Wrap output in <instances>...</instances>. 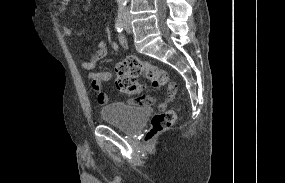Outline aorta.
Returning a JSON list of instances; mask_svg holds the SVG:
<instances>
[{"label":"aorta","instance_id":"1","mask_svg":"<svg viewBox=\"0 0 285 183\" xmlns=\"http://www.w3.org/2000/svg\"><path fill=\"white\" fill-rule=\"evenodd\" d=\"M127 1H128V0H117L118 7H119V8L125 7V5L127 4Z\"/></svg>","mask_w":285,"mask_h":183}]
</instances>
